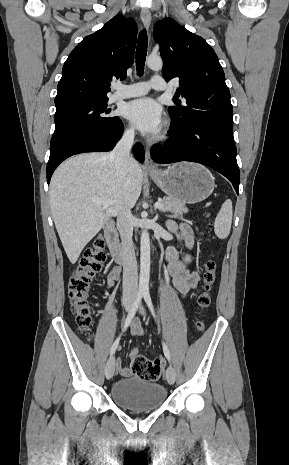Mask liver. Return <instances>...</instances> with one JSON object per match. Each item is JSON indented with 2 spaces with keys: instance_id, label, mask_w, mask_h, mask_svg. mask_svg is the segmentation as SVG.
Wrapping results in <instances>:
<instances>
[{
  "instance_id": "1",
  "label": "liver",
  "mask_w": 289,
  "mask_h": 465,
  "mask_svg": "<svg viewBox=\"0 0 289 465\" xmlns=\"http://www.w3.org/2000/svg\"><path fill=\"white\" fill-rule=\"evenodd\" d=\"M143 172L133 158L118 171L110 153H84L64 161L50 183L53 221L69 261L75 264L87 243L121 208L133 207L142 190ZM93 197L112 200L107 208Z\"/></svg>"
}]
</instances>
